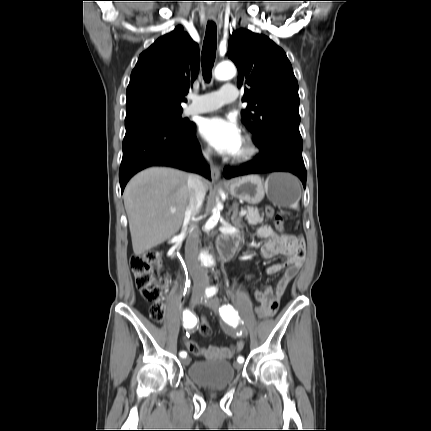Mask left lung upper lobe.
Returning <instances> with one entry per match:
<instances>
[{"instance_id":"5c2ea615","label":"left lung upper lobe","mask_w":431,"mask_h":431,"mask_svg":"<svg viewBox=\"0 0 431 431\" xmlns=\"http://www.w3.org/2000/svg\"><path fill=\"white\" fill-rule=\"evenodd\" d=\"M228 57L238 68V87L245 86L243 123L255 144L280 131L301 136L298 83L283 49L264 35L240 29L232 34Z\"/></svg>"}]
</instances>
